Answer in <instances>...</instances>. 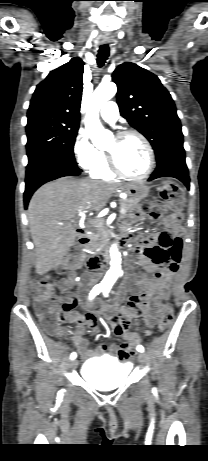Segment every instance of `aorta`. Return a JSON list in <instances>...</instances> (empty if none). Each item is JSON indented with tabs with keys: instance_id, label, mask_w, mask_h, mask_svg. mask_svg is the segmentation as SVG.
Instances as JSON below:
<instances>
[{
	"instance_id": "1",
	"label": "aorta",
	"mask_w": 208,
	"mask_h": 461,
	"mask_svg": "<svg viewBox=\"0 0 208 461\" xmlns=\"http://www.w3.org/2000/svg\"><path fill=\"white\" fill-rule=\"evenodd\" d=\"M117 87L114 83L100 84L91 97L85 128L87 135L90 137L93 145L96 148L103 149L108 142L110 133L104 129L99 120L100 108L111 98L115 96ZM110 253V269L107 271L104 280L115 282L121 270V253L117 244H112L109 250Z\"/></svg>"
}]
</instances>
